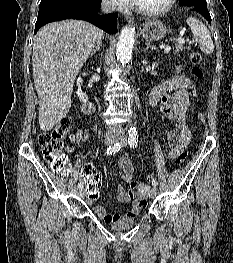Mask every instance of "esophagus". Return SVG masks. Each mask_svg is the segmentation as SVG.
<instances>
[{
  "instance_id": "1",
  "label": "esophagus",
  "mask_w": 233,
  "mask_h": 263,
  "mask_svg": "<svg viewBox=\"0 0 233 263\" xmlns=\"http://www.w3.org/2000/svg\"><path fill=\"white\" fill-rule=\"evenodd\" d=\"M125 18H126V20H127L129 23L133 22V20H134L133 17H131V16H129V15H126Z\"/></svg>"
}]
</instances>
